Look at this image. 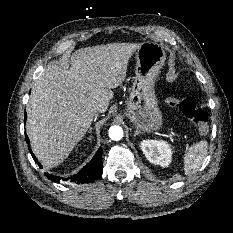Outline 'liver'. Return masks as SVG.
<instances>
[{"label":"liver","instance_id":"obj_1","mask_svg":"<svg viewBox=\"0 0 233 233\" xmlns=\"http://www.w3.org/2000/svg\"><path fill=\"white\" fill-rule=\"evenodd\" d=\"M137 43H111L76 50L70 69L52 64L37 79L27 104L26 132L36 157L52 168L85 136L125 80Z\"/></svg>","mask_w":233,"mask_h":233}]
</instances>
